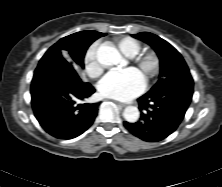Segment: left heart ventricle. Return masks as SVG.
<instances>
[{"instance_id":"left-heart-ventricle-1","label":"left heart ventricle","mask_w":222,"mask_h":187,"mask_svg":"<svg viewBox=\"0 0 222 187\" xmlns=\"http://www.w3.org/2000/svg\"><path fill=\"white\" fill-rule=\"evenodd\" d=\"M151 68L150 61H147L142 67H138V70L141 72V74L146 78L147 73L149 72Z\"/></svg>"}]
</instances>
